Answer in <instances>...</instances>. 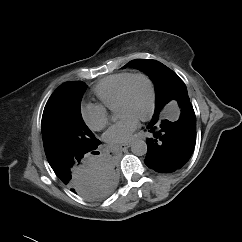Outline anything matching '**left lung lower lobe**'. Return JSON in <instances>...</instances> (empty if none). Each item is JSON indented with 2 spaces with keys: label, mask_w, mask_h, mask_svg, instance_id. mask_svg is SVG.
Returning a JSON list of instances; mask_svg holds the SVG:
<instances>
[{
  "label": "left lung lower lobe",
  "mask_w": 242,
  "mask_h": 242,
  "mask_svg": "<svg viewBox=\"0 0 242 242\" xmlns=\"http://www.w3.org/2000/svg\"><path fill=\"white\" fill-rule=\"evenodd\" d=\"M181 114L176 121L161 120L158 114L147 126L153 137L147 140L145 164L160 173L182 168L191 157L196 143V116L189 96L177 99Z\"/></svg>",
  "instance_id": "obj_1"
}]
</instances>
